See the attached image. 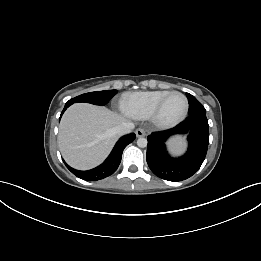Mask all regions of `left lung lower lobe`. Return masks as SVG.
I'll return each mask as SVG.
<instances>
[{
  "label": "left lung lower lobe",
  "mask_w": 261,
  "mask_h": 261,
  "mask_svg": "<svg viewBox=\"0 0 261 261\" xmlns=\"http://www.w3.org/2000/svg\"><path fill=\"white\" fill-rule=\"evenodd\" d=\"M175 134H188V151L179 158L171 157L166 140ZM209 125L206 114L189 115L172 129L153 132L148 136L147 163L158 177L168 181H182L195 174L201 167L208 149Z\"/></svg>",
  "instance_id": "1"
}]
</instances>
